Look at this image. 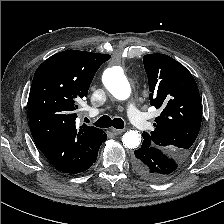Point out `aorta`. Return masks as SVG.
Returning <instances> with one entry per match:
<instances>
[{
    "mask_svg": "<svg viewBox=\"0 0 224 224\" xmlns=\"http://www.w3.org/2000/svg\"><path fill=\"white\" fill-rule=\"evenodd\" d=\"M102 81L106 89L118 100H126L131 95V87L121 67L115 66L105 70ZM141 135L138 131H126L122 137L125 148L134 149L140 145Z\"/></svg>",
    "mask_w": 224,
    "mask_h": 224,
    "instance_id": "762f6f07",
    "label": "aorta"
}]
</instances>
